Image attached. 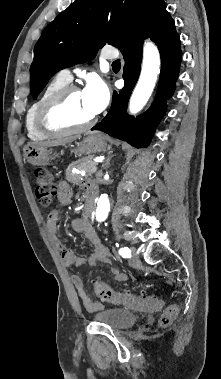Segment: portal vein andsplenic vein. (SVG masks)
<instances>
[{"mask_svg": "<svg viewBox=\"0 0 221 379\" xmlns=\"http://www.w3.org/2000/svg\"><path fill=\"white\" fill-rule=\"evenodd\" d=\"M95 162H96V163H99V162H101V160H95ZM96 170H97V167H94V168H93V171L95 172ZM83 174H85V172H82V175H83Z\"/></svg>", "mask_w": 221, "mask_h": 379, "instance_id": "portal-vein-and-splenic-vein-1", "label": "portal vein and splenic vein"}]
</instances>
